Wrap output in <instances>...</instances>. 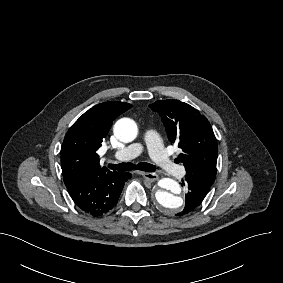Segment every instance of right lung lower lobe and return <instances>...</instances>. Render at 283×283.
<instances>
[{"label": "right lung lower lobe", "instance_id": "1", "mask_svg": "<svg viewBox=\"0 0 283 283\" xmlns=\"http://www.w3.org/2000/svg\"><path fill=\"white\" fill-rule=\"evenodd\" d=\"M130 173L86 174L65 183L76 206L90 216H102L117 204Z\"/></svg>", "mask_w": 283, "mask_h": 283}]
</instances>
